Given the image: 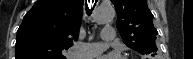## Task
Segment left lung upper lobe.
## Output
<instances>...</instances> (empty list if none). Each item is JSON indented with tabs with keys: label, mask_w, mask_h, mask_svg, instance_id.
Here are the masks:
<instances>
[{
	"label": "left lung upper lobe",
	"mask_w": 193,
	"mask_h": 59,
	"mask_svg": "<svg viewBox=\"0 0 193 59\" xmlns=\"http://www.w3.org/2000/svg\"><path fill=\"white\" fill-rule=\"evenodd\" d=\"M117 12L116 26L124 43L142 55L154 54L157 30L147 0H111Z\"/></svg>",
	"instance_id": "1"
}]
</instances>
